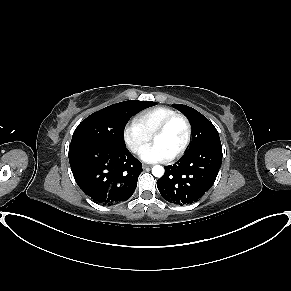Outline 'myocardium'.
<instances>
[{
  "instance_id": "1",
  "label": "myocardium",
  "mask_w": 291,
  "mask_h": 291,
  "mask_svg": "<svg viewBox=\"0 0 291 291\" xmlns=\"http://www.w3.org/2000/svg\"><path fill=\"white\" fill-rule=\"evenodd\" d=\"M177 119H180L183 121L186 128V137L182 146L178 149V151L175 154L172 155L171 159H176L182 156L190 144L191 137H192V127L188 118L184 116L183 114L175 113L169 116L168 118H166L152 134V139L163 134L164 132L167 131L169 126Z\"/></svg>"
}]
</instances>
